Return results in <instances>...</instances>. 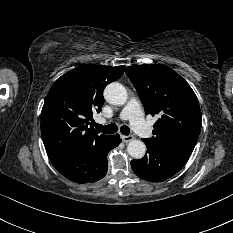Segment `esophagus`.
Segmentation results:
<instances>
[{
	"label": "esophagus",
	"mask_w": 233,
	"mask_h": 233,
	"mask_svg": "<svg viewBox=\"0 0 233 233\" xmlns=\"http://www.w3.org/2000/svg\"><path fill=\"white\" fill-rule=\"evenodd\" d=\"M121 138H122V141L124 143H128V142H130V141H132L134 139V136H132V135H122Z\"/></svg>",
	"instance_id": "34e87169"
}]
</instances>
